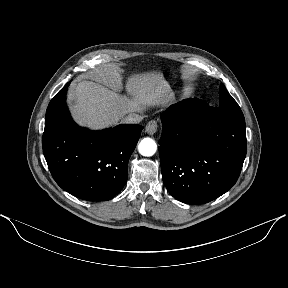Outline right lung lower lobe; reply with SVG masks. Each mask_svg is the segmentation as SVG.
<instances>
[{
    "instance_id": "98d812e1",
    "label": "right lung lower lobe",
    "mask_w": 288,
    "mask_h": 288,
    "mask_svg": "<svg viewBox=\"0 0 288 288\" xmlns=\"http://www.w3.org/2000/svg\"><path fill=\"white\" fill-rule=\"evenodd\" d=\"M69 84L46 111L42 144L48 168L57 184L73 196L110 200L127 182L128 161L143 127L122 124L101 131L79 127L66 107Z\"/></svg>"
}]
</instances>
